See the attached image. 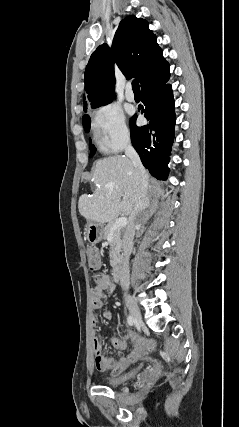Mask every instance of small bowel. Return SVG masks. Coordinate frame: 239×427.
I'll list each match as a JSON object with an SVG mask.
<instances>
[{
	"label": "small bowel",
	"instance_id": "obj_1",
	"mask_svg": "<svg viewBox=\"0 0 239 427\" xmlns=\"http://www.w3.org/2000/svg\"><path fill=\"white\" fill-rule=\"evenodd\" d=\"M115 289V280L110 279L104 274L99 275L91 290L93 309L96 310L104 307L107 299L113 294ZM103 317L105 320H111L113 318L112 311L109 308H105ZM92 326L94 329V364L99 371H111L113 375H118L131 364L135 363L145 352L155 347L154 341L143 339L136 332L129 331L122 339L113 338L111 340V344L119 350H126L128 341L130 342V348L127 353L119 360H115L103 353V344L98 329V322L95 317L92 320Z\"/></svg>",
	"mask_w": 239,
	"mask_h": 427
}]
</instances>
